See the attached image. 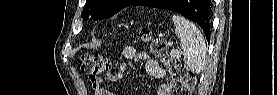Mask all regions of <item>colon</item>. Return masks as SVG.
I'll list each match as a JSON object with an SVG mask.
<instances>
[{
  "label": "colon",
  "mask_w": 277,
  "mask_h": 95,
  "mask_svg": "<svg viewBox=\"0 0 277 95\" xmlns=\"http://www.w3.org/2000/svg\"><path fill=\"white\" fill-rule=\"evenodd\" d=\"M141 41L146 45L149 52L160 58L166 69L180 82L176 95H191L197 78L182 62L169 55L166 41L161 37H154L147 29L139 33ZM109 67L108 59L100 54H88L82 58V71L90 78L106 71Z\"/></svg>",
  "instance_id": "5ec220e1"
}]
</instances>
